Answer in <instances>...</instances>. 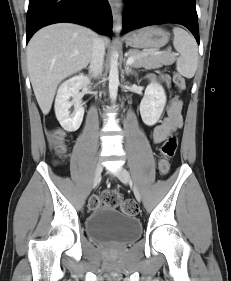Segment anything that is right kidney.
<instances>
[{
	"label": "right kidney",
	"mask_w": 231,
	"mask_h": 281,
	"mask_svg": "<svg viewBox=\"0 0 231 281\" xmlns=\"http://www.w3.org/2000/svg\"><path fill=\"white\" fill-rule=\"evenodd\" d=\"M89 83L90 80L87 76L79 74L64 81L58 88L55 99V114L60 125L68 132L76 131L82 123L84 107L81 104L82 96L79 91ZM71 97L73 100L70 102ZM71 106L75 108L72 114L69 111Z\"/></svg>",
	"instance_id": "ca27d5eb"
}]
</instances>
